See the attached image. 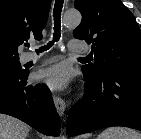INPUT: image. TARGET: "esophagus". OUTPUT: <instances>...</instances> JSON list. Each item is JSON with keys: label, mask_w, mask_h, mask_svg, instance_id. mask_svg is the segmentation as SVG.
<instances>
[{"label": "esophagus", "mask_w": 141, "mask_h": 139, "mask_svg": "<svg viewBox=\"0 0 141 139\" xmlns=\"http://www.w3.org/2000/svg\"><path fill=\"white\" fill-rule=\"evenodd\" d=\"M54 104L60 117H63L66 110V103L64 99L59 96H54Z\"/></svg>", "instance_id": "obj_1"}]
</instances>
